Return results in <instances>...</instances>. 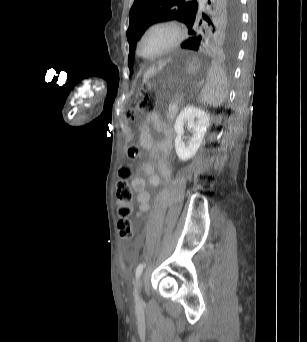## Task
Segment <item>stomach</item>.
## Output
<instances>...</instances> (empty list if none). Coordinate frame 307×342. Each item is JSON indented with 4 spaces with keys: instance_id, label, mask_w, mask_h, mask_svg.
<instances>
[{
    "instance_id": "obj_1",
    "label": "stomach",
    "mask_w": 307,
    "mask_h": 342,
    "mask_svg": "<svg viewBox=\"0 0 307 342\" xmlns=\"http://www.w3.org/2000/svg\"><path fill=\"white\" fill-rule=\"evenodd\" d=\"M176 62L172 61L168 63L166 68H162L159 71L155 72L152 76H150L147 81L146 85L149 89H158L161 87V83L163 79L168 75V71L175 67Z\"/></svg>"
}]
</instances>
